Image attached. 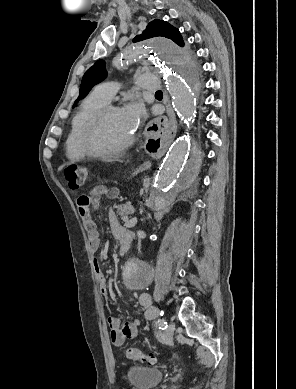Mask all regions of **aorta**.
<instances>
[{"label":"aorta","mask_w":296,"mask_h":389,"mask_svg":"<svg viewBox=\"0 0 296 389\" xmlns=\"http://www.w3.org/2000/svg\"><path fill=\"white\" fill-rule=\"evenodd\" d=\"M131 62H144L145 66H156L165 76L167 89L172 96V106L187 124L194 121L200 87L201 69L193 67L190 55L172 41L153 39L145 45H133L120 49L112 65L120 69ZM203 149L193 145L184 135L171 146L153 183L149 205L155 211L163 210L180 189H192L194 174L200 166ZM123 280L131 289H144L151 283L152 267L130 257L123 266Z\"/></svg>","instance_id":"aorta-1"}]
</instances>
